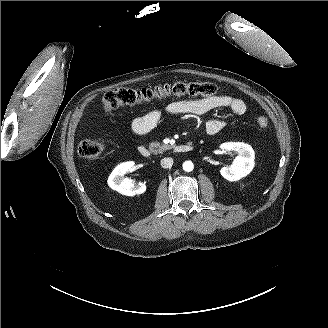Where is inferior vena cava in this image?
<instances>
[{
    "mask_svg": "<svg viewBox=\"0 0 328 328\" xmlns=\"http://www.w3.org/2000/svg\"><path fill=\"white\" fill-rule=\"evenodd\" d=\"M173 165V158L166 157L161 160V167L162 168H170Z\"/></svg>",
    "mask_w": 328,
    "mask_h": 328,
    "instance_id": "obj_1",
    "label": "inferior vena cava"
}]
</instances>
